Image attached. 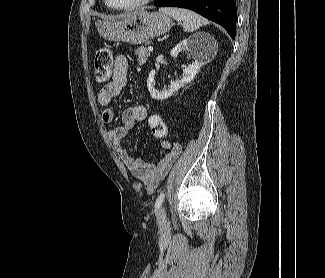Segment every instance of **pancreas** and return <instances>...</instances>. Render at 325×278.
Masks as SVG:
<instances>
[{"instance_id": "cf45deb5", "label": "pancreas", "mask_w": 325, "mask_h": 278, "mask_svg": "<svg viewBox=\"0 0 325 278\" xmlns=\"http://www.w3.org/2000/svg\"><path fill=\"white\" fill-rule=\"evenodd\" d=\"M135 54L138 56L139 64L143 65L146 63L148 57L150 56V51L145 47H140L135 51Z\"/></svg>"}]
</instances>
